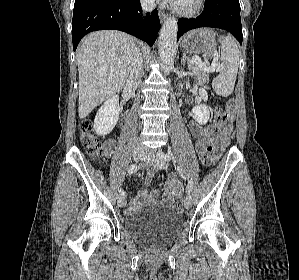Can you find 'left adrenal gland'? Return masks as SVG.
Here are the masks:
<instances>
[{"mask_svg":"<svg viewBox=\"0 0 299 280\" xmlns=\"http://www.w3.org/2000/svg\"><path fill=\"white\" fill-rule=\"evenodd\" d=\"M186 63L188 64V66L190 65V63L188 61V57L186 56V52L184 51L182 59H181V65L184 67ZM189 69H190V67H189Z\"/></svg>","mask_w":299,"mask_h":280,"instance_id":"obj_1","label":"left adrenal gland"}]
</instances>
